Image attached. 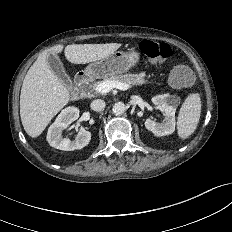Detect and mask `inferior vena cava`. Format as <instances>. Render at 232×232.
Segmentation results:
<instances>
[{
	"label": "inferior vena cava",
	"instance_id": "obj_1",
	"mask_svg": "<svg viewBox=\"0 0 232 232\" xmlns=\"http://www.w3.org/2000/svg\"><path fill=\"white\" fill-rule=\"evenodd\" d=\"M105 106V101L101 99L93 100L90 105L91 109L97 112L102 111L105 108Z\"/></svg>",
	"mask_w": 232,
	"mask_h": 232
}]
</instances>
